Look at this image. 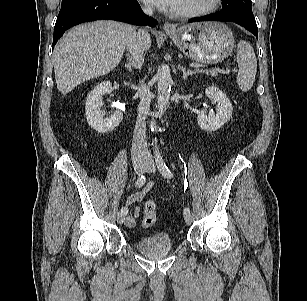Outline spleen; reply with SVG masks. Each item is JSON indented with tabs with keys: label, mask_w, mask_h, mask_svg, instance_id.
I'll return each mask as SVG.
<instances>
[{
	"label": "spleen",
	"mask_w": 307,
	"mask_h": 301,
	"mask_svg": "<svg viewBox=\"0 0 307 301\" xmlns=\"http://www.w3.org/2000/svg\"><path fill=\"white\" fill-rule=\"evenodd\" d=\"M237 62L239 71L237 84L243 92H247L253 86L256 72L257 59L253 47L246 41H240L237 46Z\"/></svg>",
	"instance_id": "1"
}]
</instances>
